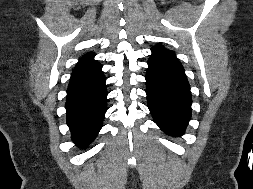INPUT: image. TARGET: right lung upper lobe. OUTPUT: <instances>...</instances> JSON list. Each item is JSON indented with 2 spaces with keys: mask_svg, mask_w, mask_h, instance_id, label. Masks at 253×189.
I'll return each instance as SVG.
<instances>
[{
  "mask_svg": "<svg viewBox=\"0 0 253 189\" xmlns=\"http://www.w3.org/2000/svg\"><path fill=\"white\" fill-rule=\"evenodd\" d=\"M94 56V53H87L73 69L71 79L85 80L103 74L101 71L102 66L93 59Z\"/></svg>",
  "mask_w": 253,
  "mask_h": 189,
  "instance_id": "1",
  "label": "right lung upper lobe"
}]
</instances>
